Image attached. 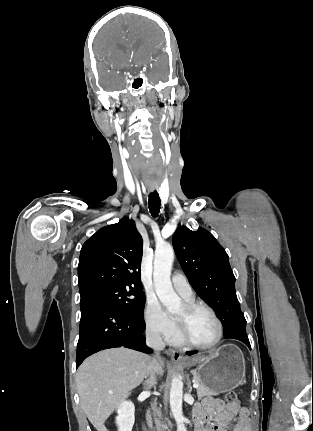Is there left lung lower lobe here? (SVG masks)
Instances as JSON below:
<instances>
[{
	"instance_id": "0a47b994",
	"label": "left lung lower lobe",
	"mask_w": 313,
	"mask_h": 431,
	"mask_svg": "<svg viewBox=\"0 0 313 431\" xmlns=\"http://www.w3.org/2000/svg\"><path fill=\"white\" fill-rule=\"evenodd\" d=\"M224 337L240 340L243 343H245L251 349L249 339L246 335V331H241V330L234 331V332L226 334ZM195 353H197V351H189V352H187V355H193Z\"/></svg>"
}]
</instances>
